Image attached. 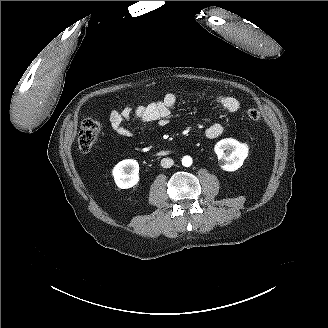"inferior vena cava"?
<instances>
[{
  "mask_svg": "<svg viewBox=\"0 0 328 328\" xmlns=\"http://www.w3.org/2000/svg\"><path fill=\"white\" fill-rule=\"evenodd\" d=\"M173 165H174V162H173V160L170 159V158H163V159L161 160V166H162L163 168H170V167H172Z\"/></svg>",
  "mask_w": 328,
  "mask_h": 328,
  "instance_id": "obj_1",
  "label": "inferior vena cava"
}]
</instances>
